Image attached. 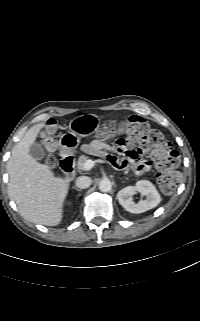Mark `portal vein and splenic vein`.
Wrapping results in <instances>:
<instances>
[{"label":"portal vein and splenic vein","mask_w":200,"mask_h":321,"mask_svg":"<svg viewBox=\"0 0 200 321\" xmlns=\"http://www.w3.org/2000/svg\"><path fill=\"white\" fill-rule=\"evenodd\" d=\"M95 161L93 160H87L85 163H84V170H91L94 165H95Z\"/></svg>","instance_id":"1"}]
</instances>
